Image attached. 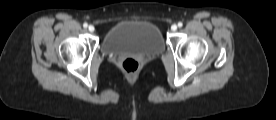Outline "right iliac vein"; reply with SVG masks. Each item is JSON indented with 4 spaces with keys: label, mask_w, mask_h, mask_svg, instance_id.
<instances>
[{
    "label": "right iliac vein",
    "mask_w": 276,
    "mask_h": 120,
    "mask_svg": "<svg viewBox=\"0 0 276 120\" xmlns=\"http://www.w3.org/2000/svg\"><path fill=\"white\" fill-rule=\"evenodd\" d=\"M88 30H89L90 32H94L95 28H94L93 25H90V26L88 27Z\"/></svg>",
    "instance_id": "obj_1"
}]
</instances>
